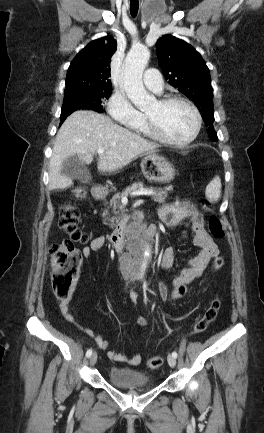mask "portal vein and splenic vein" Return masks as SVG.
<instances>
[{"mask_svg":"<svg viewBox=\"0 0 264 433\" xmlns=\"http://www.w3.org/2000/svg\"><path fill=\"white\" fill-rule=\"evenodd\" d=\"M97 153L100 156H103L105 154V150L100 148L97 150ZM153 194H155V192L152 190H139V191H136L133 193V195H137V196H139V195H153ZM127 200L128 199L126 196L122 197V201H127Z\"/></svg>","mask_w":264,"mask_h":433,"instance_id":"obj_1","label":"portal vein and splenic vein"}]
</instances>
